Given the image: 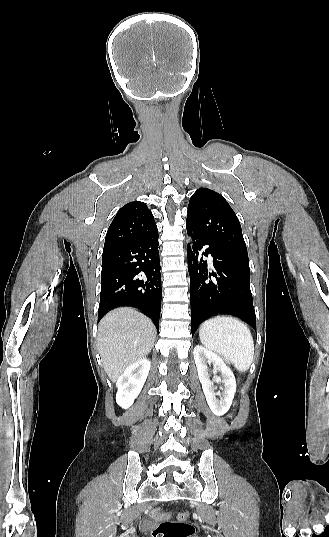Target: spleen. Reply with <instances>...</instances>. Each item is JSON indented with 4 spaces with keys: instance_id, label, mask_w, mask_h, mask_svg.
<instances>
[{
    "instance_id": "obj_1",
    "label": "spleen",
    "mask_w": 329,
    "mask_h": 537,
    "mask_svg": "<svg viewBox=\"0 0 329 537\" xmlns=\"http://www.w3.org/2000/svg\"><path fill=\"white\" fill-rule=\"evenodd\" d=\"M201 343L230 360L236 369L245 372L254 356L251 332L241 320L230 316L213 317L200 328Z\"/></svg>"
}]
</instances>
